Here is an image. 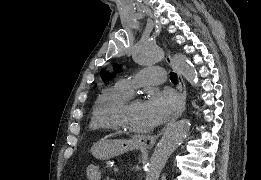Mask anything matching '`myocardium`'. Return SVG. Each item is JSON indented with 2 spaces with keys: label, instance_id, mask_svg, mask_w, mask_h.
Returning a JSON list of instances; mask_svg holds the SVG:
<instances>
[{
  "label": "myocardium",
  "instance_id": "1",
  "mask_svg": "<svg viewBox=\"0 0 261 180\" xmlns=\"http://www.w3.org/2000/svg\"><path fill=\"white\" fill-rule=\"evenodd\" d=\"M140 99V95L136 93H129L118 107H116L113 110V122H114V128L115 133L117 136H123L134 140H140L144 136H150L153 135L157 130V124H154V126L150 129V131L144 135H137L132 132H130L123 122L119 118V114L122 113L124 110H126L134 101H137Z\"/></svg>",
  "mask_w": 261,
  "mask_h": 180
}]
</instances>
